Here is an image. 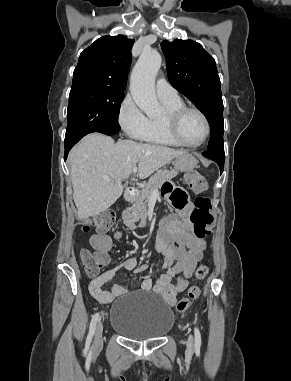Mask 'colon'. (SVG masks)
I'll use <instances>...</instances> for the list:
<instances>
[{"instance_id":"5ec220e1","label":"colon","mask_w":291,"mask_h":381,"mask_svg":"<svg viewBox=\"0 0 291 381\" xmlns=\"http://www.w3.org/2000/svg\"><path fill=\"white\" fill-rule=\"evenodd\" d=\"M189 186L198 194L195 201V209L191 213V222L193 224L194 234L196 237L203 239L211 234V226L214 217L211 213L210 199L204 195L207 190V184L203 176L199 173H191L186 178ZM177 205H183L184 200L176 201ZM115 214L112 211H103L95 216L90 217L82 225V231L88 232L90 229H95L99 234L107 232L114 224ZM80 259L85 266V271L88 276H97L100 269L109 262V256L106 252L96 251L91 252L88 249L80 250ZM209 269L206 264H200L195 270V277L203 280L208 275ZM198 286H191L187 295L180 299L176 304V311L179 313L185 312L200 295Z\"/></svg>"}]
</instances>
